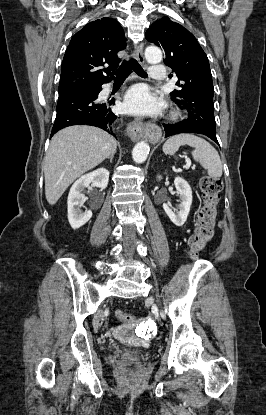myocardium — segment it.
<instances>
[{
	"label": "myocardium",
	"mask_w": 266,
	"mask_h": 415,
	"mask_svg": "<svg viewBox=\"0 0 266 415\" xmlns=\"http://www.w3.org/2000/svg\"><path fill=\"white\" fill-rule=\"evenodd\" d=\"M179 115H180V112H179V111H173V112L171 113V117H172V118H177Z\"/></svg>",
	"instance_id": "obj_1"
}]
</instances>
